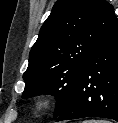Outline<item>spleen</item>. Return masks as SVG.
Returning a JSON list of instances; mask_svg holds the SVG:
<instances>
[{"label":"spleen","mask_w":118,"mask_h":123,"mask_svg":"<svg viewBox=\"0 0 118 123\" xmlns=\"http://www.w3.org/2000/svg\"><path fill=\"white\" fill-rule=\"evenodd\" d=\"M83 123H110V122L104 120H86Z\"/></svg>","instance_id":"spleen-1"}]
</instances>
